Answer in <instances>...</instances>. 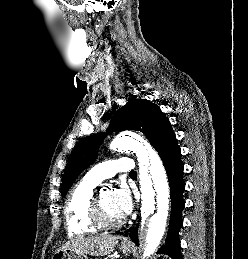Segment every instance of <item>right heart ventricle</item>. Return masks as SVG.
Returning <instances> with one entry per match:
<instances>
[{
    "label": "right heart ventricle",
    "instance_id": "1",
    "mask_svg": "<svg viewBox=\"0 0 248 259\" xmlns=\"http://www.w3.org/2000/svg\"><path fill=\"white\" fill-rule=\"evenodd\" d=\"M98 184L83 178L70 192L65 209L66 227L71 236L95 233L99 228L90 218V204Z\"/></svg>",
    "mask_w": 248,
    "mask_h": 259
}]
</instances>
